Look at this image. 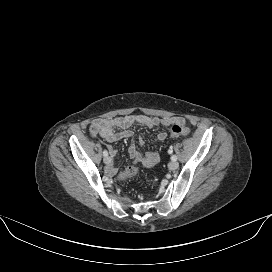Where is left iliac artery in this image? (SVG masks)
Wrapping results in <instances>:
<instances>
[{
  "label": "left iliac artery",
  "mask_w": 272,
  "mask_h": 272,
  "mask_svg": "<svg viewBox=\"0 0 272 272\" xmlns=\"http://www.w3.org/2000/svg\"><path fill=\"white\" fill-rule=\"evenodd\" d=\"M168 152H169V153H172V152H173L172 148H170V149L168 150ZM171 160H172V161H176V160H177V156H176V155H172V156H171Z\"/></svg>",
  "instance_id": "44dca946"
}]
</instances>
